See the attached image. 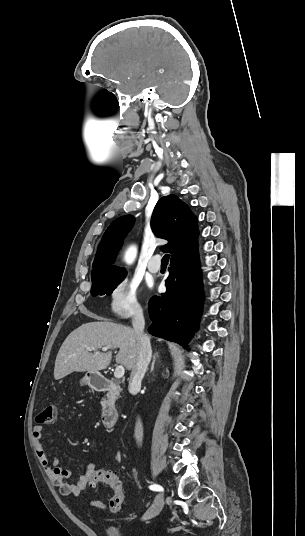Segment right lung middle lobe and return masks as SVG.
I'll list each match as a JSON object with an SVG mask.
<instances>
[{
  "instance_id": "1",
  "label": "right lung middle lobe",
  "mask_w": 305,
  "mask_h": 536,
  "mask_svg": "<svg viewBox=\"0 0 305 536\" xmlns=\"http://www.w3.org/2000/svg\"><path fill=\"white\" fill-rule=\"evenodd\" d=\"M125 277L126 274H123L112 278L93 280L91 288L92 296L110 295Z\"/></svg>"
}]
</instances>
